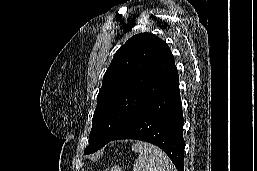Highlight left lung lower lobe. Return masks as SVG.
I'll use <instances>...</instances> for the list:
<instances>
[{
	"mask_svg": "<svg viewBox=\"0 0 257 171\" xmlns=\"http://www.w3.org/2000/svg\"><path fill=\"white\" fill-rule=\"evenodd\" d=\"M183 123L179 77L174 64L157 92L131 122L110 141L136 139L152 143L168 155L178 171H184Z\"/></svg>",
	"mask_w": 257,
	"mask_h": 171,
	"instance_id": "1",
	"label": "left lung lower lobe"
}]
</instances>
